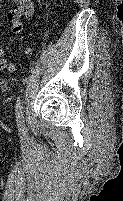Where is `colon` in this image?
Masks as SVG:
<instances>
[{
    "mask_svg": "<svg viewBox=\"0 0 123 201\" xmlns=\"http://www.w3.org/2000/svg\"><path fill=\"white\" fill-rule=\"evenodd\" d=\"M24 52L26 54H29L31 52V48L29 47L26 48ZM0 69L7 71L13 70V66L4 59V52L1 49H0Z\"/></svg>",
    "mask_w": 123,
    "mask_h": 201,
    "instance_id": "1",
    "label": "colon"
}]
</instances>
